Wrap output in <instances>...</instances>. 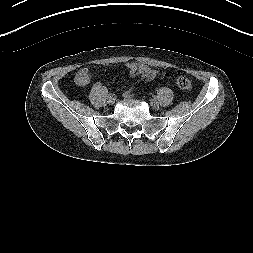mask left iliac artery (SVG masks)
<instances>
[{
    "label": "left iliac artery",
    "instance_id": "obj_1",
    "mask_svg": "<svg viewBox=\"0 0 253 253\" xmlns=\"http://www.w3.org/2000/svg\"><path fill=\"white\" fill-rule=\"evenodd\" d=\"M152 98H153L154 100H157V99L159 98V95H158L157 93H154V94L152 95Z\"/></svg>",
    "mask_w": 253,
    "mask_h": 253
}]
</instances>
